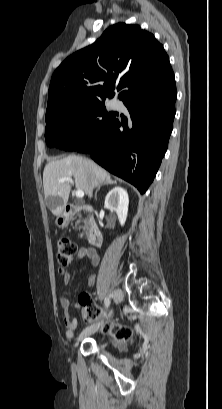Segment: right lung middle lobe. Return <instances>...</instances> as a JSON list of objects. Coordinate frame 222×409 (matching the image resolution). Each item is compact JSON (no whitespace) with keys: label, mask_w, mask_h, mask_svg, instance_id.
<instances>
[{"label":"right lung middle lobe","mask_w":222,"mask_h":409,"mask_svg":"<svg viewBox=\"0 0 222 409\" xmlns=\"http://www.w3.org/2000/svg\"><path fill=\"white\" fill-rule=\"evenodd\" d=\"M115 112L102 102L71 104L46 112L45 140L49 147L87 149L103 141ZM78 125L79 130L73 129Z\"/></svg>","instance_id":"obj_1"}]
</instances>
